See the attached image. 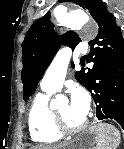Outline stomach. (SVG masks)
Masks as SVG:
<instances>
[{
	"label": "stomach",
	"instance_id": "obj_1",
	"mask_svg": "<svg viewBox=\"0 0 124 149\" xmlns=\"http://www.w3.org/2000/svg\"><path fill=\"white\" fill-rule=\"evenodd\" d=\"M96 126L91 127L90 129L78 135L73 140L71 148L68 149H92L91 147H93V145L98 141L97 132L95 129Z\"/></svg>",
	"mask_w": 124,
	"mask_h": 149
}]
</instances>
